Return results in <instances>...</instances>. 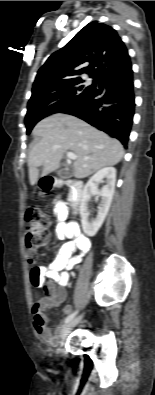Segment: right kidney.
<instances>
[{"label":"right kidney","mask_w":155,"mask_h":395,"mask_svg":"<svg viewBox=\"0 0 155 395\" xmlns=\"http://www.w3.org/2000/svg\"><path fill=\"white\" fill-rule=\"evenodd\" d=\"M106 180V185L101 190L98 189V184ZM116 182V169L113 167H106L95 173L84 186L82 200L80 203V215L83 231L86 235L93 237L96 235L100 227L102 226L115 190ZM92 195L101 196V206L99 208L96 218L89 220V209L88 203Z\"/></svg>","instance_id":"obj_1"}]
</instances>
